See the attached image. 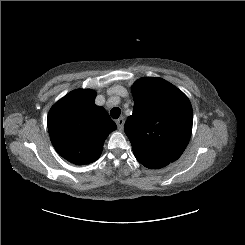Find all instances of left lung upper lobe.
<instances>
[{
    "label": "left lung upper lobe",
    "instance_id": "5c2ea615",
    "mask_svg": "<svg viewBox=\"0 0 245 245\" xmlns=\"http://www.w3.org/2000/svg\"><path fill=\"white\" fill-rule=\"evenodd\" d=\"M133 114L125 123L136 159L149 169L177 160L191 137L193 112L188 97L162 78L144 77L132 86Z\"/></svg>",
    "mask_w": 245,
    "mask_h": 245
}]
</instances>
